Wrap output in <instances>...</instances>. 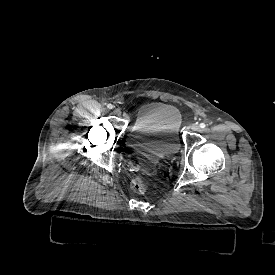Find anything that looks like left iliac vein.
Returning a JSON list of instances; mask_svg holds the SVG:
<instances>
[{
	"label": "left iliac vein",
	"instance_id": "obj_1",
	"mask_svg": "<svg viewBox=\"0 0 275 275\" xmlns=\"http://www.w3.org/2000/svg\"><path fill=\"white\" fill-rule=\"evenodd\" d=\"M200 128H199V125L198 124H196V123H194V124H192V126H191V130L192 131H198Z\"/></svg>",
	"mask_w": 275,
	"mask_h": 275
}]
</instances>
